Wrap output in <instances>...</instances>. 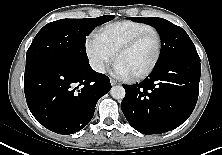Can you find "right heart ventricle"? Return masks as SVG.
I'll list each match as a JSON object with an SVG mask.
<instances>
[{
    "label": "right heart ventricle",
    "instance_id": "obj_1",
    "mask_svg": "<svg viewBox=\"0 0 222 155\" xmlns=\"http://www.w3.org/2000/svg\"><path fill=\"white\" fill-rule=\"evenodd\" d=\"M154 29L152 25L144 22L121 21L104 26L99 31V35L105 43L116 52L120 46L135 36Z\"/></svg>",
    "mask_w": 222,
    "mask_h": 155
}]
</instances>
